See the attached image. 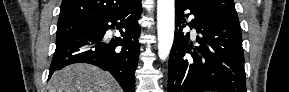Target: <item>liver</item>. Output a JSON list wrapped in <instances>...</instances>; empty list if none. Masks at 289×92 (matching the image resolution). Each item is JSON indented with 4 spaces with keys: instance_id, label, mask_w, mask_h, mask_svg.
<instances>
[{
    "instance_id": "liver-1",
    "label": "liver",
    "mask_w": 289,
    "mask_h": 92,
    "mask_svg": "<svg viewBox=\"0 0 289 92\" xmlns=\"http://www.w3.org/2000/svg\"><path fill=\"white\" fill-rule=\"evenodd\" d=\"M49 92H121V88L110 73L100 68L73 64L53 74Z\"/></svg>"
}]
</instances>
